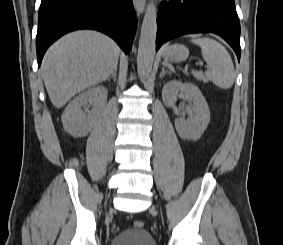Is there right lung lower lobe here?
Instances as JSON below:
<instances>
[{"mask_svg":"<svg viewBox=\"0 0 283 245\" xmlns=\"http://www.w3.org/2000/svg\"><path fill=\"white\" fill-rule=\"evenodd\" d=\"M136 26L132 0H42L36 37L38 66L54 41L77 29L101 31L128 53Z\"/></svg>","mask_w":283,"mask_h":245,"instance_id":"right-lung-lower-lobe-1","label":"right lung lower lobe"}]
</instances>
